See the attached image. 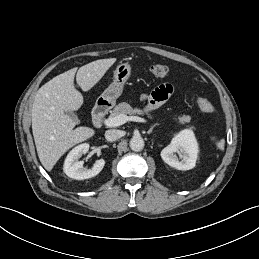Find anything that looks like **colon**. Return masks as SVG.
Listing matches in <instances>:
<instances>
[{
	"label": "colon",
	"mask_w": 259,
	"mask_h": 259,
	"mask_svg": "<svg viewBox=\"0 0 259 259\" xmlns=\"http://www.w3.org/2000/svg\"><path fill=\"white\" fill-rule=\"evenodd\" d=\"M150 72L156 77H165L169 73V68L164 64H153L150 66ZM195 102L198 108L205 113H214L215 108L212 103L205 97L195 95Z\"/></svg>",
	"instance_id": "obj_1"
}]
</instances>
